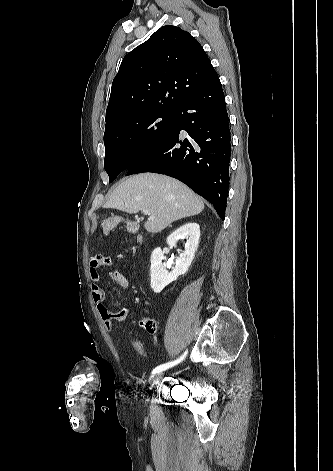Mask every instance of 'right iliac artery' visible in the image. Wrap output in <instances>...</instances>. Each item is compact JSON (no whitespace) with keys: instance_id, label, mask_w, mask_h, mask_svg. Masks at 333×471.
<instances>
[{"instance_id":"obj_1","label":"right iliac artery","mask_w":333,"mask_h":471,"mask_svg":"<svg viewBox=\"0 0 333 471\" xmlns=\"http://www.w3.org/2000/svg\"><path fill=\"white\" fill-rule=\"evenodd\" d=\"M186 355H187V351L179 359L157 366L156 368L153 369L152 374L161 372L163 370H166V369L180 363L186 357Z\"/></svg>"}]
</instances>
